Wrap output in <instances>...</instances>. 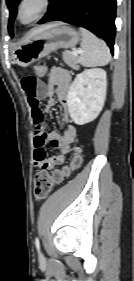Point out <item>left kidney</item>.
<instances>
[{
  "mask_svg": "<svg viewBox=\"0 0 134 281\" xmlns=\"http://www.w3.org/2000/svg\"><path fill=\"white\" fill-rule=\"evenodd\" d=\"M106 72L101 68L86 69L69 87L67 107L77 125L92 122L101 112L106 98Z\"/></svg>",
  "mask_w": 134,
  "mask_h": 281,
  "instance_id": "1",
  "label": "left kidney"
}]
</instances>
